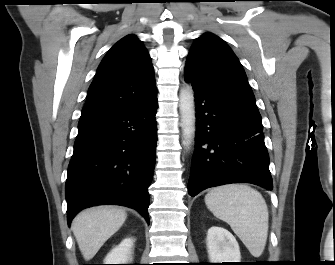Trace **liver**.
I'll use <instances>...</instances> for the list:
<instances>
[{"mask_svg":"<svg viewBox=\"0 0 335 265\" xmlns=\"http://www.w3.org/2000/svg\"><path fill=\"white\" fill-rule=\"evenodd\" d=\"M127 218L124 209L116 206H97L80 212L71 229L83 258L91 260L101 246L123 225Z\"/></svg>","mask_w":335,"mask_h":265,"instance_id":"liver-1","label":"liver"}]
</instances>
